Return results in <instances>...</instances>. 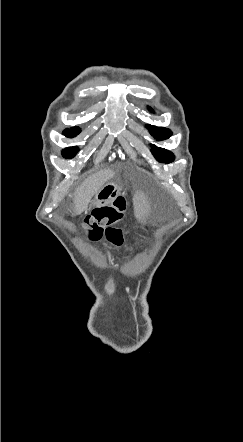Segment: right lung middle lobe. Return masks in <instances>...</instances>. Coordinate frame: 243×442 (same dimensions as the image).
Returning <instances> with one entry per match:
<instances>
[{
	"label": "right lung middle lobe",
	"instance_id": "obj_1",
	"mask_svg": "<svg viewBox=\"0 0 243 442\" xmlns=\"http://www.w3.org/2000/svg\"><path fill=\"white\" fill-rule=\"evenodd\" d=\"M66 137L72 138L80 133L79 127H73L71 129H66L64 132ZM78 148L77 147H69L63 150L62 154L64 157L72 158L77 153Z\"/></svg>",
	"mask_w": 243,
	"mask_h": 442
}]
</instances>
